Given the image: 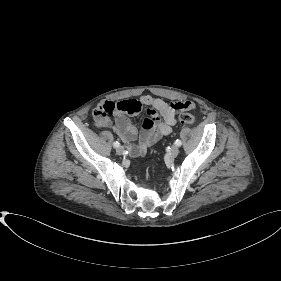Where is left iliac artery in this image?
Here are the masks:
<instances>
[{"mask_svg": "<svg viewBox=\"0 0 281 281\" xmlns=\"http://www.w3.org/2000/svg\"><path fill=\"white\" fill-rule=\"evenodd\" d=\"M175 145H177V146H181V145H182L181 140H178V139H177V140L175 141Z\"/></svg>", "mask_w": 281, "mask_h": 281, "instance_id": "left-iliac-artery-1", "label": "left iliac artery"}]
</instances>
